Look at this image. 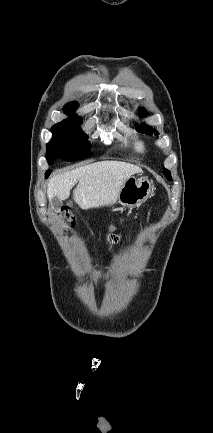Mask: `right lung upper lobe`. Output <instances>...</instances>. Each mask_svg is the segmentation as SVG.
Wrapping results in <instances>:
<instances>
[{
    "label": "right lung upper lobe",
    "mask_w": 213,
    "mask_h": 433,
    "mask_svg": "<svg viewBox=\"0 0 213 433\" xmlns=\"http://www.w3.org/2000/svg\"><path fill=\"white\" fill-rule=\"evenodd\" d=\"M77 103L76 102H71V103H68L65 107H64V110H65V112L66 113H68V114H72L73 116H76L75 114H74V112H75V110H76V108H77ZM77 117V116H76Z\"/></svg>",
    "instance_id": "obj_1"
}]
</instances>
